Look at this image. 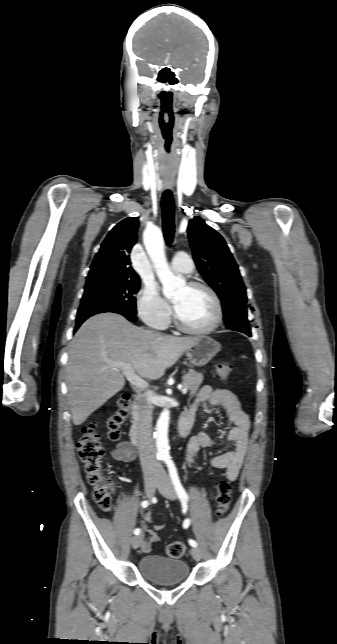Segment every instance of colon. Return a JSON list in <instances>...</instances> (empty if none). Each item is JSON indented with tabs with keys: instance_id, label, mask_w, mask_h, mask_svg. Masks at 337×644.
<instances>
[{
	"instance_id": "colon-1",
	"label": "colon",
	"mask_w": 337,
	"mask_h": 644,
	"mask_svg": "<svg viewBox=\"0 0 337 644\" xmlns=\"http://www.w3.org/2000/svg\"><path fill=\"white\" fill-rule=\"evenodd\" d=\"M232 365L227 361H220L216 371L222 379L230 376ZM131 408L128 394L122 395L117 401L115 410L106 421L107 436L112 441H117L121 435V425ZM78 456L83 463L86 479L93 487V498L98 507L109 511L112 506L110 480L103 473L102 458L104 446L100 441L94 423H89L82 429V434L77 442ZM231 502V484L222 478L216 485V514L223 516ZM185 553V545L180 541L172 542L167 547V554L171 558H181Z\"/></svg>"
}]
</instances>
